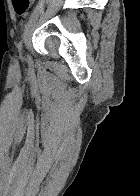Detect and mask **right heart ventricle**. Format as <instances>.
I'll list each match as a JSON object with an SVG mask.
<instances>
[{"label":"right heart ventricle","instance_id":"right-heart-ventricle-1","mask_svg":"<svg viewBox=\"0 0 140 196\" xmlns=\"http://www.w3.org/2000/svg\"><path fill=\"white\" fill-rule=\"evenodd\" d=\"M26 192H36V191H26Z\"/></svg>","mask_w":140,"mask_h":196}]
</instances>
